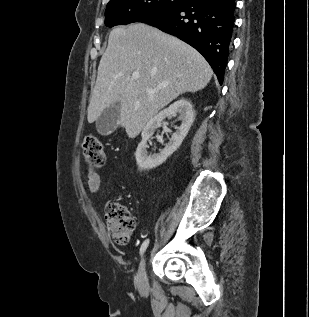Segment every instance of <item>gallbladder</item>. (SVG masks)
I'll use <instances>...</instances> for the list:
<instances>
[{"mask_svg":"<svg viewBox=\"0 0 309 317\" xmlns=\"http://www.w3.org/2000/svg\"><path fill=\"white\" fill-rule=\"evenodd\" d=\"M120 118V103L116 102L104 109L96 120V129L101 135H109L116 130Z\"/></svg>","mask_w":309,"mask_h":317,"instance_id":"1","label":"gallbladder"}]
</instances>
